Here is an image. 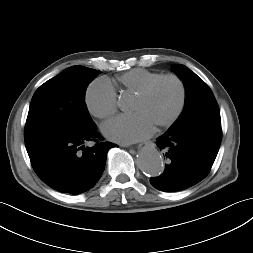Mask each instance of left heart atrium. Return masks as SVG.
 <instances>
[{"label":"left heart atrium","instance_id":"left-heart-atrium-1","mask_svg":"<svg viewBox=\"0 0 253 253\" xmlns=\"http://www.w3.org/2000/svg\"><path fill=\"white\" fill-rule=\"evenodd\" d=\"M154 129L155 124L142 112L118 116L102 126L105 136L125 144L149 137Z\"/></svg>","mask_w":253,"mask_h":253}]
</instances>
